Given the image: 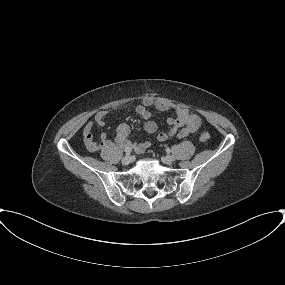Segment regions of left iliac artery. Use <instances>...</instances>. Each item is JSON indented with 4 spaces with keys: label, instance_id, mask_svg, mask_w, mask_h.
<instances>
[{
    "label": "left iliac artery",
    "instance_id": "44dca946",
    "mask_svg": "<svg viewBox=\"0 0 285 285\" xmlns=\"http://www.w3.org/2000/svg\"><path fill=\"white\" fill-rule=\"evenodd\" d=\"M166 152H167V153H170V152H171V150H170L169 148H167V149H166Z\"/></svg>",
    "mask_w": 285,
    "mask_h": 285
}]
</instances>
